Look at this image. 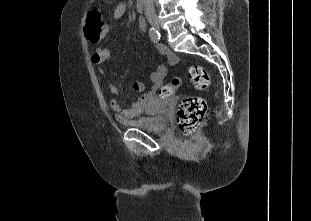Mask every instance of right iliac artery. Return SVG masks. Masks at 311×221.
Listing matches in <instances>:
<instances>
[{"label": "right iliac artery", "instance_id": "obj_1", "mask_svg": "<svg viewBox=\"0 0 311 221\" xmlns=\"http://www.w3.org/2000/svg\"><path fill=\"white\" fill-rule=\"evenodd\" d=\"M149 36L154 43H158L160 40V33L154 27L149 29Z\"/></svg>", "mask_w": 311, "mask_h": 221}]
</instances>
